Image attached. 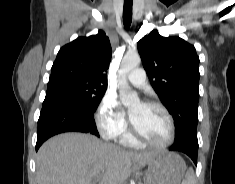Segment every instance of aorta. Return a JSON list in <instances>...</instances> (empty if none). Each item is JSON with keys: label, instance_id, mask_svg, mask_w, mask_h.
Here are the masks:
<instances>
[{"label": "aorta", "instance_id": "762f6f07", "mask_svg": "<svg viewBox=\"0 0 235 184\" xmlns=\"http://www.w3.org/2000/svg\"><path fill=\"white\" fill-rule=\"evenodd\" d=\"M139 64H141V60L138 54H126L121 62L118 72V86L123 106L139 104V98L136 92H130L127 82V74H129L131 70H134V68H138Z\"/></svg>", "mask_w": 235, "mask_h": 184}]
</instances>
